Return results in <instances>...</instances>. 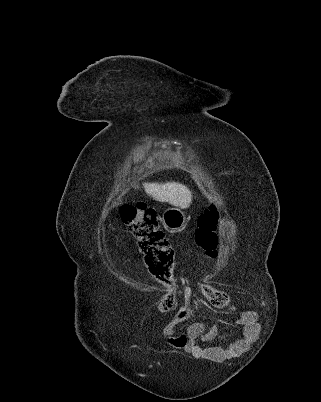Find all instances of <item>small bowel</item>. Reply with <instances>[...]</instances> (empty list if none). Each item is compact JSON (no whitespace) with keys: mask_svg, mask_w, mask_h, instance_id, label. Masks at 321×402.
I'll return each instance as SVG.
<instances>
[{"mask_svg":"<svg viewBox=\"0 0 321 402\" xmlns=\"http://www.w3.org/2000/svg\"><path fill=\"white\" fill-rule=\"evenodd\" d=\"M193 312L194 309L191 307L182 309L164 329L173 346L187 349L185 352L187 358L212 360L244 358L245 351H250L249 345H253V341L259 336L258 329L261 327V322L254 320L256 317L254 311L247 310L235 323L236 328L245 329L243 338H235L231 344L212 343L204 346L202 344L213 341L215 335L213 328L207 329L202 323L192 322L186 326L185 332L177 333V329L189 320ZM231 313H234V310H231Z\"/></svg>","mask_w":321,"mask_h":402,"instance_id":"obj_1","label":"small bowel"}]
</instances>
